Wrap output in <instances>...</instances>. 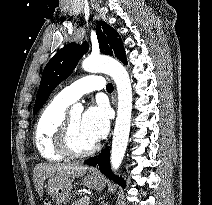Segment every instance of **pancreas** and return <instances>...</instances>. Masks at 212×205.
I'll list each match as a JSON object with an SVG mask.
<instances>
[{"mask_svg": "<svg viewBox=\"0 0 212 205\" xmlns=\"http://www.w3.org/2000/svg\"><path fill=\"white\" fill-rule=\"evenodd\" d=\"M90 198L84 197L72 203V205H89Z\"/></svg>", "mask_w": 212, "mask_h": 205, "instance_id": "pancreas-1", "label": "pancreas"}]
</instances>
